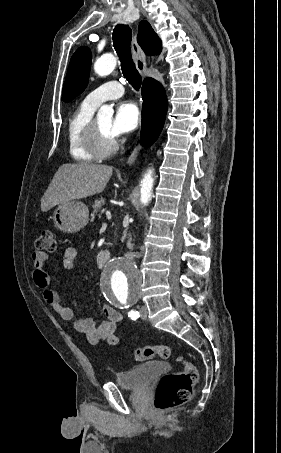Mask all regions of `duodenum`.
<instances>
[{"label": "duodenum", "mask_w": 281, "mask_h": 453, "mask_svg": "<svg viewBox=\"0 0 281 453\" xmlns=\"http://www.w3.org/2000/svg\"><path fill=\"white\" fill-rule=\"evenodd\" d=\"M110 259V252L106 249L100 250L96 255V262L99 267L105 266Z\"/></svg>", "instance_id": "obj_1"}]
</instances>
